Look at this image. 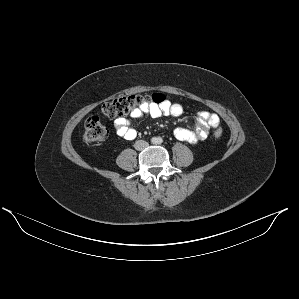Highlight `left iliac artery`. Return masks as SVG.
<instances>
[{
    "instance_id": "obj_1",
    "label": "left iliac artery",
    "mask_w": 299,
    "mask_h": 299,
    "mask_svg": "<svg viewBox=\"0 0 299 299\" xmlns=\"http://www.w3.org/2000/svg\"><path fill=\"white\" fill-rule=\"evenodd\" d=\"M157 143H158V144H162V143H163V139H162V138H158V139H157Z\"/></svg>"
}]
</instances>
